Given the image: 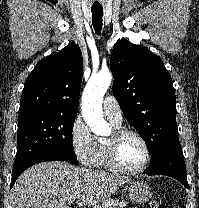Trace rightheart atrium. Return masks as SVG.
<instances>
[{
	"mask_svg": "<svg viewBox=\"0 0 199 208\" xmlns=\"http://www.w3.org/2000/svg\"><path fill=\"white\" fill-rule=\"evenodd\" d=\"M70 142L80 163L85 166H93L97 153V142L81 116H77L72 122Z\"/></svg>",
	"mask_w": 199,
	"mask_h": 208,
	"instance_id": "1",
	"label": "right heart atrium"
}]
</instances>
